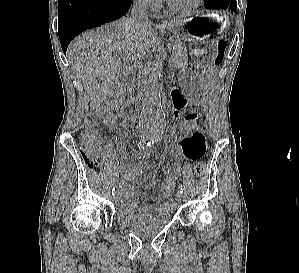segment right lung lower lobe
Masks as SVG:
<instances>
[{
  "label": "right lung lower lobe",
  "instance_id": "right-lung-lower-lobe-1",
  "mask_svg": "<svg viewBox=\"0 0 299 273\" xmlns=\"http://www.w3.org/2000/svg\"><path fill=\"white\" fill-rule=\"evenodd\" d=\"M133 0H59L58 34L64 54L70 41L86 29L116 20Z\"/></svg>",
  "mask_w": 299,
  "mask_h": 273
}]
</instances>
